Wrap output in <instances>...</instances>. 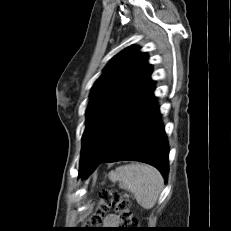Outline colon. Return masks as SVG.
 Returning a JSON list of instances; mask_svg holds the SVG:
<instances>
[{"instance_id": "1", "label": "colon", "mask_w": 231, "mask_h": 231, "mask_svg": "<svg viewBox=\"0 0 231 231\" xmlns=\"http://www.w3.org/2000/svg\"><path fill=\"white\" fill-rule=\"evenodd\" d=\"M114 210L119 222L124 226L136 224V219L131 212L130 201L123 197L116 189H104L99 193V204L96 212L89 219L91 224H100L109 210Z\"/></svg>"}]
</instances>
